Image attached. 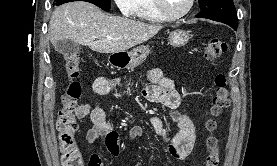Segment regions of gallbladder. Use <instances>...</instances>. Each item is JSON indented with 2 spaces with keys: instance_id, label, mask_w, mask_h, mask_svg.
<instances>
[{
  "instance_id": "1",
  "label": "gallbladder",
  "mask_w": 277,
  "mask_h": 166,
  "mask_svg": "<svg viewBox=\"0 0 277 166\" xmlns=\"http://www.w3.org/2000/svg\"><path fill=\"white\" fill-rule=\"evenodd\" d=\"M55 48H56V51H58L60 54L69 55V56L78 54L82 49L78 43L69 39L59 40L56 43Z\"/></svg>"
}]
</instances>
